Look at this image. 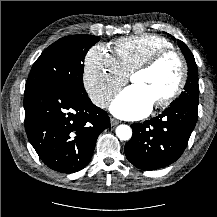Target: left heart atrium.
<instances>
[{
	"mask_svg": "<svg viewBox=\"0 0 217 217\" xmlns=\"http://www.w3.org/2000/svg\"><path fill=\"white\" fill-rule=\"evenodd\" d=\"M154 102L138 86L131 85L121 91L112 101L111 112L124 119H139L146 116Z\"/></svg>",
	"mask_w": 217,
	"mask_h": 217,
	"instance_id": "left-heart-atrium-1",
	"label": "left heart atrium"
}]
</instances>
